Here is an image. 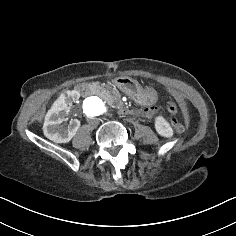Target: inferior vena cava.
<instances>
[{"label":"inferior vena cava","instance_id":"602c4592","mask_svg":"<svg viewBox=\"0 0 236 236\" xmlns=\"http://www.w3.org/2000/svg\"><path fill=\"white\" fill-rule=\"evenodd\" d=\"M85 120L88 122L89 125H92V126H95V125L99 124V121L97 119L96 120H91L87 117Z\"/></svg>","mask_w":236,"mask_h":236}]
</instances>
